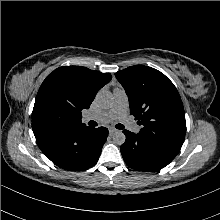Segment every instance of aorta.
Returning a JSON list of instances; mask_svg holds the SVG:
<instances>
[{
  "mask_svg": "<svg viewBox=\"0 0 220 220\" xmlns=\"http://www.w3.org/2000/svg\"><path fill=\"white\" fill-rule=\"evenodd\" d=\"M96 102L100 107L108 108L113 104V95L108 91L98 92ZM112 138L113 142L117 145H122L126 140V136L121 130L116 131Z\"/></svg>",
  "mask_w": 220,
  "mask_h": 220,
  "instance_id": "obj_1",
  "label": "aorta"
}]
</instances>
